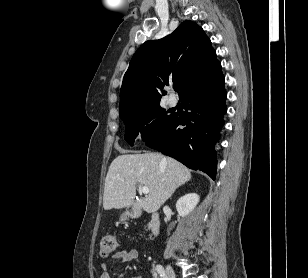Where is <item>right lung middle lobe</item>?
<instances>
[{"mask_svg": "<svg viewBox=\"0 0 308 278\" xmlns=\"http://www.w3.org/2000/svg\"><path fill=\"white\" fill-rule=\"evenodd\" d=\"M173 116L168 115L160 103L132 111L121 117L126 125L125 140L133 145L134 139L141 134L142 140L148 141L166 128Z\"/></svg>", "mask_w": 308, "mask_h": 278, "instance_id": "1", "label": "right lung middle lobe"}]
</instances>
